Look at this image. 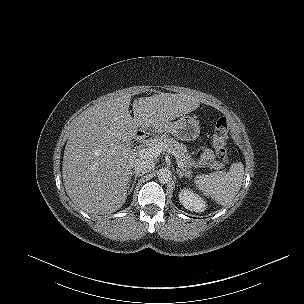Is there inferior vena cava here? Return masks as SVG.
Listing matches in <instances>:
<instances>
[{
  "label": "inferior vena cava",
  "instance_id": "602c4592",
  "mask_svg": "<svg viewBox=\"0 0 304 304\" xmlns=\"http://www.w3.org/2000/svg\"><path fill=\"white\" fill-rule=\"evenodd\" d=\"M133 167H134V171L136 173L144 174V173H148L149 171H151L155 167V164L151 159L141 157V158L135 159V161L133 163Z\"/></svg>",
  "mask_w": 304,
  "mask_h": 304
}]
</instances>
